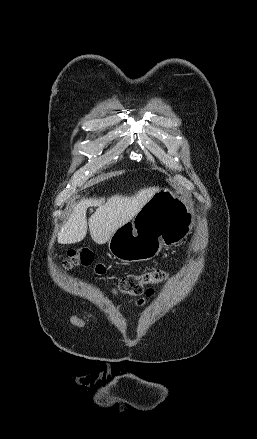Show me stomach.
I'll return each mask as SVG.
<instances>
[{
  "instance_id": "1",
  "label": "stomach",
  "mask_w": 257,
  "mask_h": 439,
  "mask_svg": "<svg viewBox=\"0 0 257 439\" xmlns=\"http://www.w3.org/2000/svg\"><path fill=\"white\" fill-rule=\"evenodd\" d=\"M195 224V213L186 197L168 188L158 190L129 221L111 236V254L123 262L147 261L163 245H176L185 239Z\"/></svg>"
}]
</instances>
